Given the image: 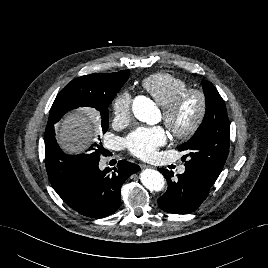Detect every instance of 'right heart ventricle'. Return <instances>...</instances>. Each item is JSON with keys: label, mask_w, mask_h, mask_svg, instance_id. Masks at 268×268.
Segmentation results:
<instances>
[{"label": "right heart ventricle", "mask_w": 268, "mask_h": 268, "mask_svg": "<svg viewBox=\"0 0 268 268\" xmlns=\"http://www.w3.org/2000/svg\"><path fill=\"white\" fill-rule=\"evenodd\" d=\"M186 82L172 74L160 72L150 75L142 82V87L154 100L165 107L174 96L185 89Z\"/></svg>", "instance_id": "e07e8e85"}]
</instances>
